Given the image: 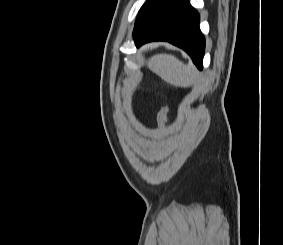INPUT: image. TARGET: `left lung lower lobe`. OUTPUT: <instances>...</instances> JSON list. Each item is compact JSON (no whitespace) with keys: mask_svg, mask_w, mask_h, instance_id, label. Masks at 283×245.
<instances>
[{"mask_svg":"<svg viewBox=\"0 0 283 245\" xmlns=\"http://www.w3.org/2000/svg\"><path fill=\"white\" fill-rule=\"evenodd\" d=\"M134 41L137 47L150 41H168L186 51L202 69L205 39L199 28V14L188 0H175L158 21Z\"/></svg>","mask_w":283,"mask_h":245,"instance_id":"0a47b994","label":"left lung lower lobe"}]
</instances>
